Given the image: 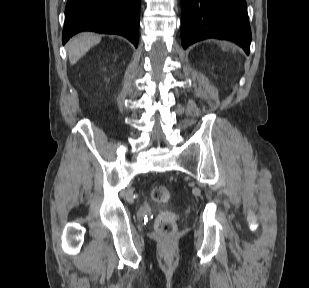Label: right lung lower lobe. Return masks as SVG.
<instances>
[{"mask_svg":"<svg viewBox=\"0 0 309 288\" xmlns=\"http://www.w3.org/2000/svg\"><path fill=\"white\" fill-rule=\"evenodd\" d=\"M140 0H68L62 42L81 31L119 34L135 47L139 40Z\"/></svg>","mask_w":309,"mask_h":288,"instance_id":"98d812e1","label":"right lung lower lobe"}]
</instances>
